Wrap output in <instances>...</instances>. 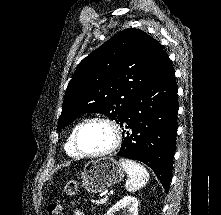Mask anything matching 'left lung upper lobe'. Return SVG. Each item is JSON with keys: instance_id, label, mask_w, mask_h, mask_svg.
<instances>
[{"instance_id": "left-lung-upper-lobe-1", "label": "left lung upper lobe", "mask_w": 221, "mask_h": 215, "mask_svg": "<svg viewBox=\"0 0 221 215\" xmlns=\"http://www.w3.org/2000/svg\"><path fill=\"white\" fill-rule=\"evenodd\" d=\"M167 57L159 42L142 30L128 28L110 38L77 66L64 96L58 130L87 112L120 123Z\"/></svg>"}]
</instances>
